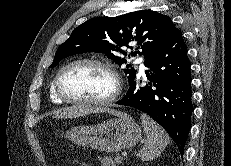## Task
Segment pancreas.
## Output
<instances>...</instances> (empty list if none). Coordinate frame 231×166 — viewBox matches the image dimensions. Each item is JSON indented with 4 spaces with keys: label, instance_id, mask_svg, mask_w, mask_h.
<instances>
[{
    "label": "pancreas",
    "instance_id": "obj_1",
    "mask_svg": "<svg viewBox=\"0 0 231 166\" xmlns=\"http://www.w3.org/2000/svg\"><path fill=\"white\" fill-rule=\"evenodd\" d=\"M119 156L115 157L113 160L111 157H104L101 158V166H117L122 163V158H118Z\"/></svg>",
    "mask_w": 231,
    "mask_h": 166
}]
</instances>
